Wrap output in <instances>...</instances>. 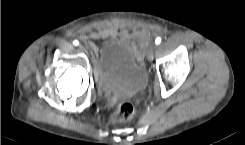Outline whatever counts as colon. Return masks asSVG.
Wrapping results in <instances>:
<instances>
[{"label":"colon","instance_id":"colon-1","mask_svg":"<svg viewBox=\"0 0 245 145\" xmlns=\"http://www.w3.org/2000/svg\"><path fill=\"white\" fill-rule=\"evenodd\" d=\"M135 114V107L130 102L120 104L112 116V122L121 123L133 118Z\"/></svg>","mask_w":245,"mask_h":145}]
</instances>
